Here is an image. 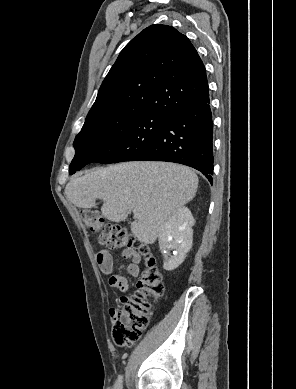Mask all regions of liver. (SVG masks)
I'll list each match as a JSON object with an SVG mask.
<instances>
[{
	"label": "liver",
	"mask_w": 296,
	"mask_h": 389,
	"mask_svg": "<svg viewBox=\"0 0 296 389\" xmlns=\"http://www.w3.org/2000/svg\"><path fill=\"white\" fill-rule=\"evenodd\" d=\"M198 177L189 167L168 162H128L96 168L73 177L65 187L67 199L79 208L103 200L102 216L119 223L136 210L133 235L153 244L167 218L196 195Z\"/></svg>",
	"instance_id": "liver-1"
}]
</instances>
